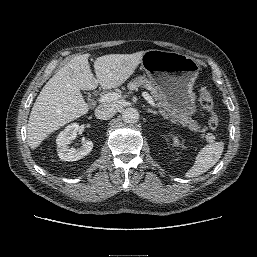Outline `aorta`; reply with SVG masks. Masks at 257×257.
<instances>
[{
	"label": "aorta",
	"instance_id": "1",
	"mask_svg": "<svg viewBox=\"0 0 257 257\" xmlns=\"http://www.w3.org/2000/svg\"><path fill=\"white\" fill-rule=\"evenodd\" d=\"M122 119L125 123L134 124L139 121V112L135 108H126L122 112Z\"/></svg>",
	"mask_w": 257,
	"mask_h": 257
}]
</instances>
